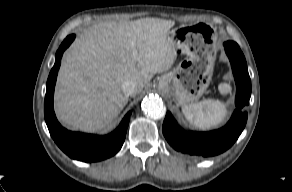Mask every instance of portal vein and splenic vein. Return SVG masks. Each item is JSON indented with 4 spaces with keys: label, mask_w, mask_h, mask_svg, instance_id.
Returning <instances> with one entry per match:
<instances>
[{
    "label": "portal vein and splenic vein",
    "mask_w": 292,
    "mask_h": 192,
    "mask_svg": "<svg viewBox=\"0 0 292 192\" xmlns=\"http://www.w3.org/2000/svg\"><path fill=\"white\" fill-rule=\"evenodd\" d=\"M138 54L137 49L134 47L133 48V55L136 56Z\"/></svg>",
    "instance_id": "1"
}]
</instances>
